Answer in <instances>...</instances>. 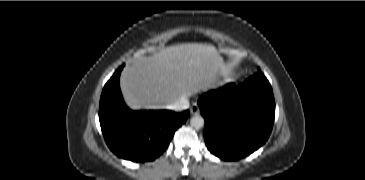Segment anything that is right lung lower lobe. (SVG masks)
<instances>
[{
	"label": "right lung lower lobe",
	"mask_w": 365,
	"mask_h": 180,
	"mask_svg": "<svg viewBox=\"0 0 365 180\" xmlns=\"http://www.w3.org/2000/svg\"><path fill=\"white\" fill-rule=\"evenodd\" d=\"M122 68L115 71L103 88L99 105L101 129L110 150L118 157L134 162L152 161L167 148L189 111L130 110L119 87Z\"/></svg>",
	"instance_id": "obj_1"
}]
</instances>
